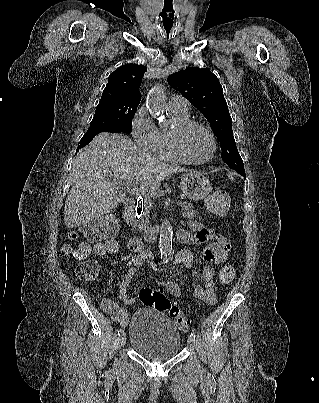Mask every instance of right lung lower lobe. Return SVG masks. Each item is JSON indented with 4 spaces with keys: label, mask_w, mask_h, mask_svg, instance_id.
<instances>
[{
    "label": "right lung lower lobe",
    "mask_w": 319,
    "mask_h": 403,
    "mask_svg": "<svg viewBox=\"0 0 319 403\" xmlns=\"http://www.w3.org/2000/svg\"><path fill=\"white\" fill-rule=\"evenodd\" d=\"M101 132H112V133H120V132H125L123 129L120 128H103V129H89L82 139L80 140V144L78 145L77 151H79L80 148L84 147L85 145L89 144L92 139Z\"/></svg>",
    "instance_id": "right-lung-lower-lobe-1"
}]
</instances>
